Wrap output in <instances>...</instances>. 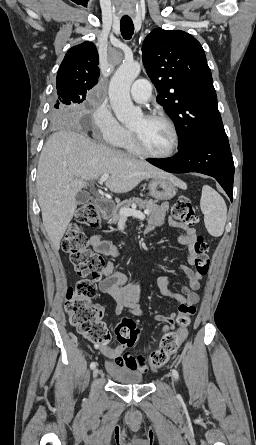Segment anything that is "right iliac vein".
<instances>
[{
  "label": "right iliac vein",
  "instance_id": "obj_1",
  "mask_svg": "<svg viewBox=\"0 0 256 445\" xmlns=\"http://www.w3.org/2000/svg\"><path fill=\"white\" fill-rule=\"evenodd\" d=\"M98 368H95L94 370H93V377L94 378H96L97 377V375H98Z\"/></svg>",
  "mask_w": 256,
  "mask_h": 445
}]
</instances>
